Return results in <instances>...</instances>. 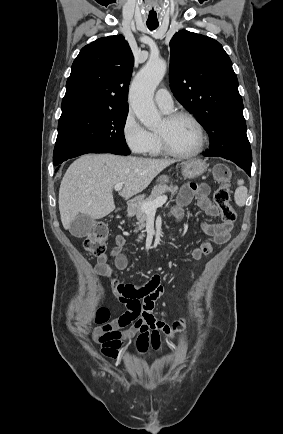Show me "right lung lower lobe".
<instances>
[{
  "instance_id": "1",
  "label": "right lung lower lobe",
  "mask_w": 283,
  "mask_h": 434,
  "mask_svg": "<svg viewBox=\"0 0 283 434\" xmlns=\"http://www.w3.org/2000/svg\"><path fill=\"white\" fill-rule=\"evenodd\" d=\"M86 153H110V152H107V151H91V152H84V153H80V154H78V155H76V156H74V157H77V156H80V155H82V154H86ZM74 157H72V158H74ZM60 165H58V167H59Z\"/></svg>"
}]
</instances>
